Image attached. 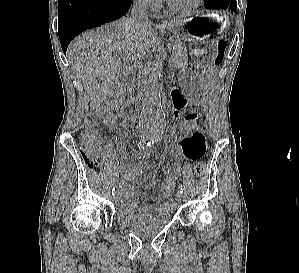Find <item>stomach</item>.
<instances>
[{
    "instance_id": "obj_1",
    "label": "stomach",
    "mask_w": 299,
    "mask_h": 273,
    "mask_svg": "<svg viewBox=\"0 0 299 273\" xmlns=\"http://www.w3.org/2000/svg\"><path fill=\"white\" fill-rule=\"evenodd\" d=\"M230 26L228 16L221 11H202L179 26L168 25L176 35L188 43L191 61H212V48ZM215 62H194L191 70L183 69L179 73L183 88L189 96L187 101L200 103L205 100L211 89L213 74H220V69H213Z\"/></svg>"
}]
</instances>
